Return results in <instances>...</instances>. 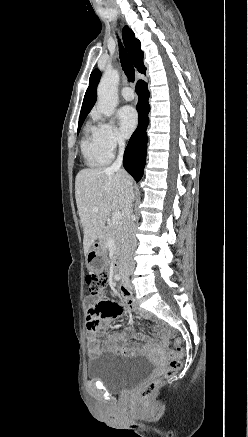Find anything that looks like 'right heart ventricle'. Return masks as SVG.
<instances>
[{
	"label": "right heart ventricle",
	"instance_id": "right-heart-ventricle-1",
	"mask_svg": "<svg viewBox=\"0 0 248 437\" xmlns=\"http://www.w3.org/2000/svg\"><path fill=\"white\" fill-rule=\"evenodd\" d=\"M81 151L86 163L91 167L106 165L110 158L101 148L98 140L97 128L91 123L84 127V135L81 140Z\"/></svg>",
	"mask_w": 248,
	"mask_h": 437
}]
</instances>
